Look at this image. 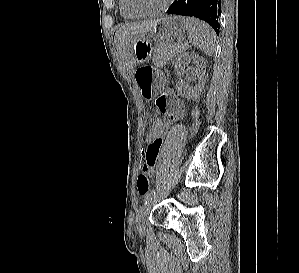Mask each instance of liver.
<instances>
[{"instance_id": "1", "label": "liver", "mask_w": 299, "mask_h": 273, "mask_svg": "<svg viewBox=\"0 0 299 273\" xmlns=\"http://www.w3.org/2000/svg\"><path fill=\"white\" fill-rule=\"evenodd\" d=\"M159 20L125 23L118 27L114 42L119 56L127 69L133 73L136 67L134 45L138 40L145 39Z\"/></svg>"}]
</instances>
